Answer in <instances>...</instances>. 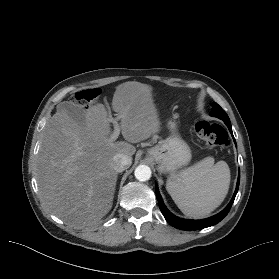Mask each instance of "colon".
I'll return each mask as SVG.
<instances>
[{
    "instance_id": "obj_1",
    "label": "colon",
    "mask_w": 279,
    "mask_h": 279,
    "mask_svg": "<svg viewBox=\"0 0 279 279\" xmlns=\"http://www.w3.org/2000/svg\"><path fill=\"white\" fill-rule=\"evenodd\" d=\"M100 92L98 89H89L79 93L76 101L82 106L96 100ZM194 130L199 139L208 147L224 148L229 144V136L226 129L218 123L198 121L194 125Z\"/></svg>"
}]
</instances>
